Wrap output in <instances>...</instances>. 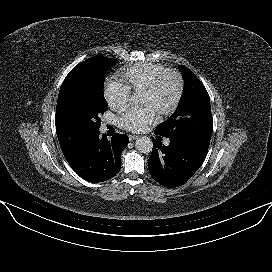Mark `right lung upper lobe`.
<instances>
[{
    "label": "right lung upper lobe",
    "mask_w": 272,
    "mask_h": 272,
    "mask_svg": "<svg viewBox=\"0 0 272 272\" xmlns=\"http://www.w3.org/2000/svg\"><path fill=\"white\" fill-rule=\"evenodd\" d=\"M56 132L62 152L67 161L74 158L82 147L93 137V135L81 134L67 125L60 112L56 110Z\"/></svg>",
    "instance_id": "obj_1"
}]
</instances>
